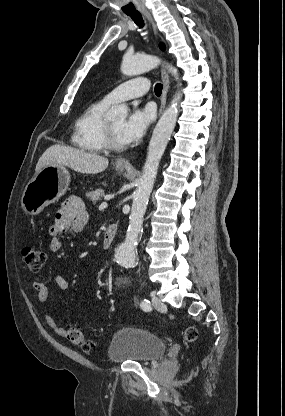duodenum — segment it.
Here are the masks:
<instances>
[{
	"mask_svg": "<svg viewBox=\"0 0 285 416\" xmlns=\"http://www.w3.org/2000/svg\"><path fill=\"white\" fill-rule=\"evenodd\" d=\"M117 235V227L115 224H109L106 227V230L103 234V239H102V248L105 250H108L113 243V240L115 239Z\"/></svg>",
	"mask_w": 285,
	"mask_h": 416,
	"instance_id": "duodenum-1",
	"label": "duodenum"
}]
</instances>
